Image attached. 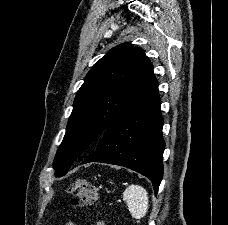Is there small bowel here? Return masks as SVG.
<instances>
[{"mask_svg": "<svg viewBox=\"0 0 228 225\" xmlns=\"http://www.w3.org/2000/svg\"><path fill=\"white\" fill-rule=\"evenodd\" d=\"M67 225H73V224H71V223H68Z\"/></svg>", "mask_w": 228, "mask_h": 225, "instance_id": "small-bowel-1", "label": "small bowel"}]
</instances>
